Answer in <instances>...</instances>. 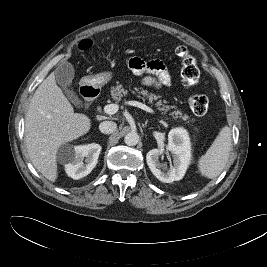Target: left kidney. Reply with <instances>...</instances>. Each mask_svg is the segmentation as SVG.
Here are the masks:
<instances>
[{
  "label": "left kidney",
  "mask_w": 267,
  "mask_h": 267,
  "mask_svg": "<svg viewBox=\"0 0 267 267\" xmlns=\"http://www.w3.org/2000/svg\"><path fill=\"white\" fill-rule=\"evenodd\" d=\"M167 151L173 154V165L159 162L164 149H152L146 155V161L153 175L164 183L181 180L191 160V147L188 134L183 128H174L168 134Z\"/></svg>",
  "instance_id": "left-kidney-1"
}]
</instances>
